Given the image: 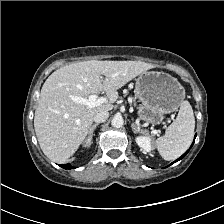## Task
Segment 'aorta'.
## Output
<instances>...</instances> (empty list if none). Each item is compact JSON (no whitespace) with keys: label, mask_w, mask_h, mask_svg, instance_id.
<instances>
[{"label":"aorta","mask_w":224,"mask_h":224,"mask_svg":"<svg viewBox=\"0 0 224 224\" xmlns=\"http://www.w3.org/2000/svg\"><path fill=\"white\" fill-rule=\"evenodd\" d=\"M123 124H124V120L122 116H119V115L114 116L111 121V125L115 128H120L123 126Z\"/></svg>","instance_id":"762f6f07"}]
</instances>
